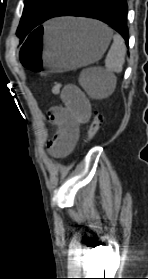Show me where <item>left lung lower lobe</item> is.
Here are the masks:
<instances>
[{
    "instance_id": "left-lung-lower-lobe-1",
    "label": "left lung lower lobe",
    "mask_w": 148,
    "mask_h": 279,
    "mask_svg": "<svg viewBox=\"0 0 148 279\" xmlns=\"http://www.w3.org/2000/svg\"><path fill=\"white\" fill-rule=\"evenodd\" d=\"M126 0H67L50 18L82 16L101 20L125 39L128 45Z\"/></svg>"
}]
</instances>
